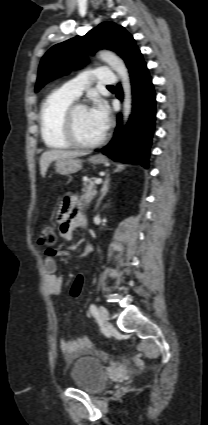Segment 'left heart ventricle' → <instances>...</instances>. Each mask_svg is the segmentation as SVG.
I'll return each mask as SVG.
<instances>
[{"label": "left heart ventricle", "instance_id": "b2bd125f", "mask_svg": "<svg viewBox=\"0 0 208 425\" xmlns=\"http://www.w3.org/2000/svg\"><path fill=\"white\" fill-rule=\"evenodd\" d=\"M75 133L82 142H93L98 140L104 134L89 109H80L75 113L74 118Z\"/></svg>", "mask_w": 208, "mask_h": 425}]
</instances>
